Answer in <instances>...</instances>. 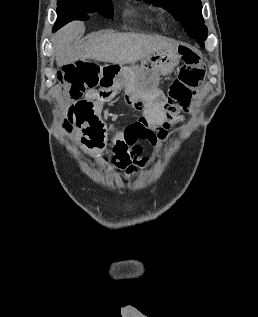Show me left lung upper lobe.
<instances>
[{
	"label": "left lung upper lobe",
	"mask_w": 258,
	"mask_h": 317,
	"mask_svg": "<svg viewBox=\"0 0 258 317\" xmlns=\"http://www.w3.org/2000/svg\"><path fill=\"white\" fill-rule=\"evenodd\" d=\"M170 11L191 38H206L207 27L202 17L201 0H145Z\"/></svg>",
	"instance_id": "left-lung-upper-lobe-1"
}]
</instances>
